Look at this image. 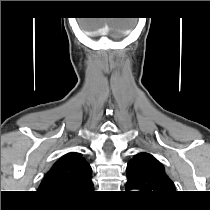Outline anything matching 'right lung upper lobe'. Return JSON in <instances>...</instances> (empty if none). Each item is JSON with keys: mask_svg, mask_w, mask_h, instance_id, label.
<instances>
[{"mask_svg": "<svg viewBox=\"0 0 210 210\" xmlns=\"http://www.w3.org/2000/svg\"><path fill=\"white\" fill-rule=\"evenodd\" d=\"M93 190L91 167L80 153L61 157L47 172L38 192L45 197L70 202L83 199Z\"/></svg>", "mask_w": 210, "mask_h": 210, "instance_id": "right-lung-upper-lobe-1", "label": "right lung upper lobe"}]
</instances>
